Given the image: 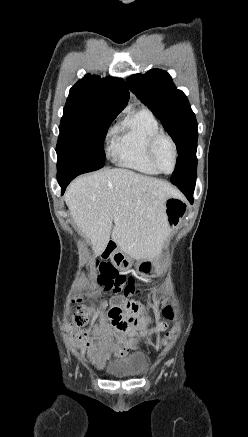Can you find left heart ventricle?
I'll list each match as a JSON object with an SVG mask.
<instances>
[{"label": "left heart ventricle", "mask_w": 248, "mask_h": 437, "mask_svg": "<svg viewBox=\"0 0 248 437\" xmlns=\"http://www.w3.org/2000/svg\"><path fill=\"white\" fill-rule=\"evenodd\" d=\"M157 161L161 169L165 172H170L173 167L174 154L171 144L168 140L163 139L157 147Z\"/></svg>", "instance_id": "obj_1"}]
</instances>
